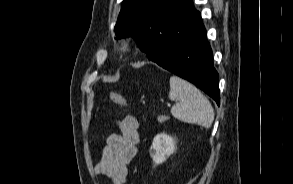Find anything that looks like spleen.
Segmentation results:
<instances>
[{"label":"spleen","mask_w":293,"mask_h":184,"mask_svg":"<svg viewBox=\"0 0 293 184\" xmlns=\"http://www.w3.org/2000/svg\"><path fill=\"white\" fill-rule=\"evenodd\" d=\"M169 99L176 101L171 114L176 119L209 128L214 120V110L209 100L188 81L170 77Z\"/></svg>","instance_id":"1"}]
</instances>
